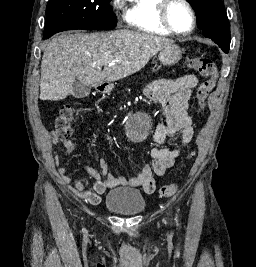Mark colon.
<instances>
[{"instance_id":"obj_1","label":"colon","mask_w":256,"mask_h":267,"mask_svg":"<svg viewBox=\"0 0 256 267\" xmlns=\"http://www.w3.org/2000/svg\"><path fill=\"white\" fill-rule=\"evenodd\" d=\"M189 67L205 79L198 86L195 95V103L200 113L204 107L207 97L211 94L215 87L217 79V65L210 57H193L187 61ZM75 115V108L72 106H64L60 108L55 118V131L60 138H67L71 135L70 122ZM178 188L175 184L162 185L159 188V194L163 197H171L177 192Z\"/></svg>"}]
</instances>
